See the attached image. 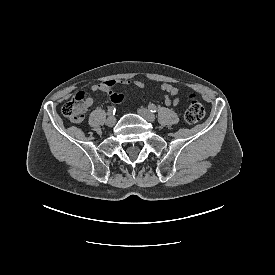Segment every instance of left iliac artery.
Returning <instances> with one entry per match:
<instances>
[{
    "instance_id": "1",
    "label": "left iliac artery",
    "mask_w": 275,
    "mask_h": 275,
    "mask_svg": "<svg viewBox=\"0 0 275 275\" xmlns=\"http://www.w3.org/2000/svg\"><path fill=\"white\" fill-rule=\"evenodd\" d=\"M149 110L152 112V113H155L156 112V106L154 104H150L149 106Z\"/></svg>"
}]
</instances>
